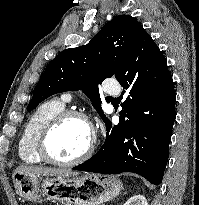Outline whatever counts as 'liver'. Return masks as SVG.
I'll return each mask as SVG.
<instances>
[{
  "label": "liver",
  "mask_w": 199,
  "mask_h": 205,
  "mask_svg": "<svg viewBox=\"0 0 199 205\" xmlns=\"http://www.w3.org/2000/svg\"><path fill=\"white\" fill-rule=\"evenodd\" d=\"M16 172H24L26 174L30 175H36V176H61V177H75L79 173L73 172L68 169H60V168H48V167H37V166H19L14 171V174ZM13 174V175H14Z\"/></svg>",
  "instance_id": "liver-1"
}]
</instances>
